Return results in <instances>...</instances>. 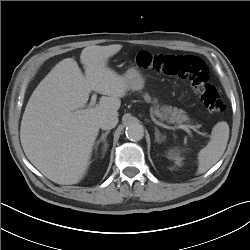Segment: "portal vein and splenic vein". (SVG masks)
<instances>
[{"instance_id": "obj_1", "label": "portal vein and splenic vein", "mask_w": 250, "mask_h": 250, "mask_svg": "<svg viewBox=\"0 0 250 250\" xmlns=\"http://www.w3.org/2000/svg\"><path fill=\"white\" fill-rule=\"evenodd\" d=\"M96 99H97L96 94H93L92 97H91L90 104H89L90 107H92V106L95 105ZM74 113H75L76 115H80V114H83V113H84V110H83V109H81V110H76ZM177 128L183 129V130H185V131H186L187 133H189V134H190L189 128H192V129L195 130V127H193V126L182 125V124L178 125ZM202 135H203V136H206V137H210V135L205 134V133H202Z\"/></svg>"}]
</instances>
